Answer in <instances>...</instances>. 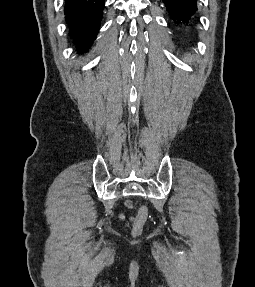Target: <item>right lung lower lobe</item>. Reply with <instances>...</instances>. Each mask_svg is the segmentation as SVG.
<instances>
[{
  "label": "right lung lower lobe",
  "instance_id": "98d812e1",
  "mask_svg": "<svg viewBox=\"0 0 255 287\" xmlns=\"http://www.w3.org/2000/svg\"><path fill=\"white\" fill-rule=\"evenodd\" d=\"M65 19L69 34L79 51L87 50L96 38L104 0H65Z\"/></svg>",
  "mask_w": 255,
  "mask_h": 287
}]
</instances>
